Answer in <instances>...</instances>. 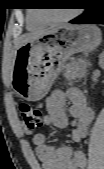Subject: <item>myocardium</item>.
<instances>
[{"label":"myocardium","mask_w":104,"mask_h":169,"mask_svg":"<svg viewBox=\"0 0 104 169\" xmlns=\"http://www.w3.org/2000/svg\"><path fill=\"white\" fill-rule=\"evenodd\" d=\"M75 16H76V11H73L70 14L65 15L58 19H47L46 17L41 16V15H38L37 17L45 24H57V23L67 22L73 19Z\"/></svg>","instance_id":"obj_1"}]
</instances>
